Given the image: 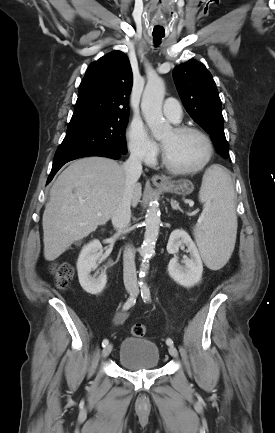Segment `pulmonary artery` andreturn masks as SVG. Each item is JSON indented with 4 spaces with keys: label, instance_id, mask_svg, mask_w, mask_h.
Wrapping results in <instances>:
<instances>
[{
    "label": "pulmonary artery",
    "instance_id": "obj_1",
    "mask_svg": "<svg viewBox=\"0 0 275 433\" xmlns=\"http://www.w3.org/2000/svg\"><path fill=\"white\" fill-rule=\"evenodd\" d=\"M165 116L173 123H178L182 118V108L180 103L175 99H166L163 105Z\"/></svg>",
    "mask_w": 275,
    "mask_h": 433
}]
</instances>
